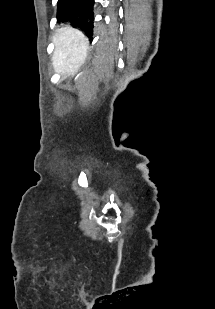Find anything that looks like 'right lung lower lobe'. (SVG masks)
I'll return each instance as SVG.
<instances>
[{
  "mask_svg": "<svg viewBox=\"0 0 215 309\" xmlns=\"http://www.w3.org/2000/svg\"><path fill=\"white\" fill-rule=\"evenodd\" d=\"M94 0H58L57 21L80 28L92 39Z\"/></svg>",
  "mask_w": 215,
  "mask_h": 309,
  "instance_id": "1",
  "label": "right lung lower lobe"
}]
</instances>
